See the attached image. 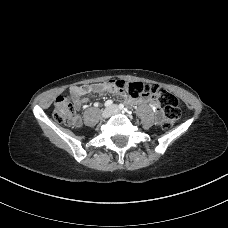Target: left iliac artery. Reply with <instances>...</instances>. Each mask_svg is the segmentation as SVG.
I'll use <instances>...</instances> for the list:
<instances>
[{"label": "left iliac artery", "instance_id": "1", "mask_svg": "<svg viewBox=\"0 0 228 228\" xmlns=\"http://www.w3.org/2000/svg\"><path fill=\"white\" fill-rule=\"evenodd\" d=\"M119 108H120L121 110H124V111H126V112H129V111L125 108V106H124L123 104H120V105H119Z\"/></svg>", "mask_w": 228, "mask_h": 228}]
</instances>
